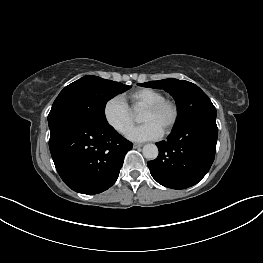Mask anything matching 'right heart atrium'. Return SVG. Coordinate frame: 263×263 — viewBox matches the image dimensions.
Segmentation results:
<instances>
[{
  "mask_svg": "<svg viewBox=\"0 0 263 263\" xmlns=\"http://www.w3.org/2000/svg\"><path fill=\"white\" fill-rule=\"evenodd\" d=\"M103 116L107 124L119 134H125L133 123V114L121 95L110 97L103 106Z\"/></svg>",
  "mask_w": 263,
  "mask_h": 263,
  "instance_id": "obj_1",
  "label": "right heart atrium"
}]
</instances>
